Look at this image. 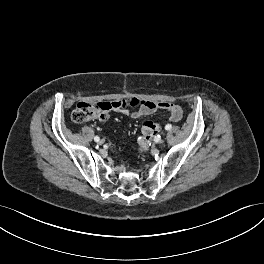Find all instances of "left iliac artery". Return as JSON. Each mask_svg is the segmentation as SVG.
<instances>
[{"mask_svg": "<svg viewBox=\"0 0 264 264\" xmlns=\"http://www.w3.org/2000/svg\"><path fill=\"white\" fill-rule=\"evenodd\" d=\"M171 128H172V125H171V124H167V125L165 126V129H166V130H171Z\"/></svg>", "mask_w": 264, "mask_h": 264, "instance_id": "44dca946", "label": "left iliac artery"}]
</instances>
